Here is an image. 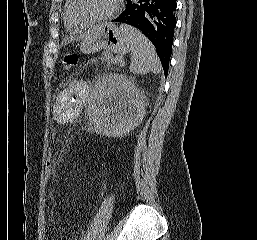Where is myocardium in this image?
<instances>
[{
    "mask_svg": "<svg viewBox=\"0 0 257 240\" xmlns=\"http://www.w3.org/2000/svg\"><path fill=\"white\" fill-rule=\"evenodd\" d=\"M79 2H80V0H71V12L76 21H78L79 23H82L84 25H87V26L100 24V23L110 20L118 12L120 5H121V0H116L114 7L108 14L101 16V17H97V18H91V17L84 16L80 12Z\"/></svg>",
    "mask_w": 257,
    "mask_h": 240,
    "instance_id": "myocardium-1",
    "label": "myocardium"
}]
</instances>
